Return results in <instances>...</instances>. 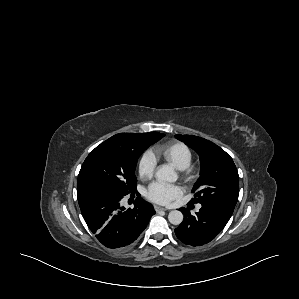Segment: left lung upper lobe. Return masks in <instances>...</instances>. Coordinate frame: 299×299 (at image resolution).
Listing matches in <instances>:
<instances>
[{
    "label": "left lung upper lobe",
    "instance_id": "obj_1",
    "mask_svg": "<svg viewBox=\"0 0 299 299\" xmlns=\"http://www.w3.org/2000/svg\"><path fill=\"white\" fill-rule=\"evenodd\" d=\"M200 156V178L195 183L191 203L212 205L232 215L239 195V175L236 166L223 149L197 136L175 135Z\"/></svg>",
    "mask_w": 299,
    "mask_h": 299
}]
</instances>
